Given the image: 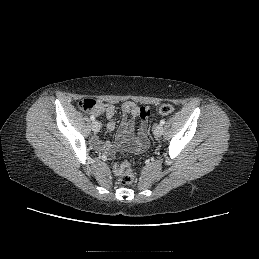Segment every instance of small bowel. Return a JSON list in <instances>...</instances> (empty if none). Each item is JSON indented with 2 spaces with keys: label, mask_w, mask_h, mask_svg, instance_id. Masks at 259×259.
<instances>
[{
  "label": "small bowel",
  "mask_w": 259,
  "mask_h": 259,
  "mask_svg": "<svg viewBox=\"0 0 259 259\" xmlns=\"http://www.w3.org/2000/svg\"><path fill=\"white\" fill-rule=\"evenodd\" d=\"M123 120L121 122L118 134L116 136V143L119 147L128 150L130 152H140L144 150L148 145L147 137V118L140 116V107L132 101H126L122 104ZM96 115L105 113L107 123L106 127L109 130H113L116 126L114 119L115 107L112 104H104L103 107L94 110ZM140 118V124L138 133L135 136L134 119ZM94 145L102 152L111 155L113 149L108 142H101L99 139L93 141Z\"/></svg>",
  "instance_id": "obj_1"
}]
</instances>
